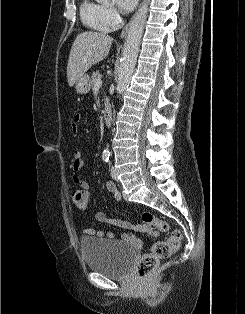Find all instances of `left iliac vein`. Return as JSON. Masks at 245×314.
Instances as JSON below:
<instances>
[{
	"label": "left iliac vein",
	"instance_id": "1",
	"mask_svg": "<svg viewBox=\"0 0 245 314\" xmlns=\"http://www.w3.org/2000/svg\"><path fill=\"white\" fill-rule=\"evenodd\" d=\"M110 171H111V177H112L115 181H118V179H117V173H116V170H115V168H114L113 166H111Z\"/></svg>",
	"mask_w": 245,
	"mask_h": 314
}]
</instances>
